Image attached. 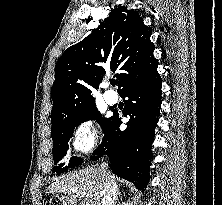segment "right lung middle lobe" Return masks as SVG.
I'll return each mask as SVG.
<instances>
[{"instance_id":"1","label":"right lung middle lobe","mask_w":222,"mask_h":205,"mask_svg":"<svg viewBox=\"0 0 222 205\" xmlns=\"http://www.w3.org/2000/svg\"><path fill=\"white\" fill-rule=\"evenodd\" d=\"M96 120L100 123L103 131L106 130L110 124L112 117L102 118L100 112L97 110L95 104L91 105L78 113L61 119L52 123L51 136L53 139V157L54 162L57 164L66 154L68 150V141L72 136L75 126L87 120ZM83 161L82 158L72 157L70 159L69 168L79 165ZM63 164L53 168V172L61 174L65 172L68 167L62 168Z\"/></svg>"}]
</instances>
